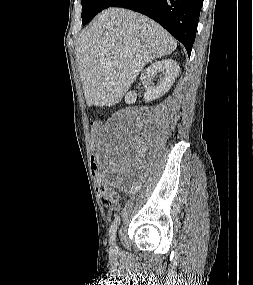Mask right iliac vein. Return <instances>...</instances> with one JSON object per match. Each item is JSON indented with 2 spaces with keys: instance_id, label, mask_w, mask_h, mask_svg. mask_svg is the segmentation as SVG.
I'll return each mask as SVG.
<instances>
[{
  "instance_id": "right-iliac-vein-1",
  "label": "right iliac vein",
  "mask_w": 253,
  "mask_h": 285,
  "mask_svg": "<svg viewBox=\"0 0 253 285\" xmlns=\"http://www.w3.org/2000/svg\"><path fill=\"white\" fill-rule=\"evenodd\" d=\"M110 251L112 253H116L117 252V245H116V243L111 244Z\"/></svg>"
}]
</instances>
